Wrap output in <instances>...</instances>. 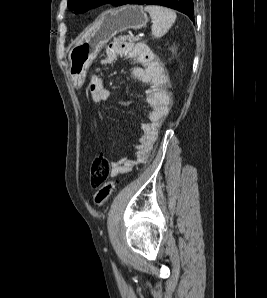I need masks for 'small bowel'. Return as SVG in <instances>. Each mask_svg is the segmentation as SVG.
Instances as JSON below:
<instances>
[{
    "instance_id": "c3829d8e",
    "label": "small bowel",
    "mask_w": 267,
    "mask_h": 298,
    "mask_svg": "<svg viewBox=\"0 0 267 298\" xmlns=\"http://www.w3.org/2000/svg\"><path fill=\"white\" fill-rule=\"evenodd\" d=\"M119 57L129 58L137 63L132 69L131 75L147 86L145 101L148 105V120L140 125L141 136L135 145L136 159L119 158L112 161L111 174L113 176L127 173L136 164L147 161L159 129L169 114L172 104L171 95L168 91L169 75L148 46L125 41L112 42L106 49L102 64H112ZM87 83L93 102L102 103L110 98L111 91L102 77L91 72Z\"/></svg>"
}]
</instances>
